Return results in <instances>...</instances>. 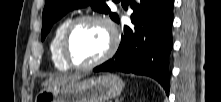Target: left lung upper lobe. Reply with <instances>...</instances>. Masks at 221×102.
Instances as JSON below:
<instances>
[{
	"instance_id": "1",
	"label": "left lung upper lobe",
	"mask_w": 221,
	"mask_h": 102,
	"mask_svg": "<svg viewBox=\"0 0 221 102\" xmlns=\"http://www.w3.org/2000/svg\"><path fill=\"white\" fill-rule=\"evenodd\" d=\"M91 5L95 11L109 13L110 9L105 4V0H46L43 11V28L41 38L44 40L52 25L64 16L68 11ZM110 17L118 22L119 18L116 13H110Z\"/></svg>"
}]
</instances>
